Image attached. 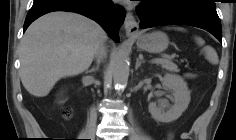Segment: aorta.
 <instances>
[{
  "instance_id": "762f6f07",
  "label": "aorta",
  "mask_w": 236,
  "mask_h": 140,
  "mask_svg": "<svg viewBox=\"0 0 236 140\" xmlns=\"http://www.w3.org/2000/svg\"><path fill=\"white\" fill-rule=\"evenodd\" d=\"M129 52L125 46H121L113 59V79L116 88H123L129 76Z\"/></svg>"
}]
</instances>
